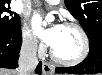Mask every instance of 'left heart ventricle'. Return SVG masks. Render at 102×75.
I'll return each instance as SVG.
<instances>
[{
  "label": "left heart ventricle",
  "mask_w": 102,
  "mask_h": 75,
  "mask_svg": "<svg viewBox=\"0 0 102 75\" xmlns=\"http://www.w3.org/2000/svg\"><path fill=\"white\" fill-rule=\"evenodd\" d=\"M83 43L79 32L71 27L60 25L51 48L61 58L72 60L82 51Z\"/></svg>",
  "instance_id": "1"
}]
</instances>
